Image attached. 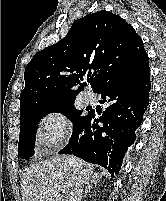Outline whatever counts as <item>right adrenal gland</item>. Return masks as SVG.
Returning a JSON list of instances; mask_svg holds the SVG:
<instances>
[{"mask_svg":"<svg viewBox=\"0 0 166 201\" xmlns=\"http://www.w3.org/2000/svg\"><path fill=\"white\" fill-rule=\"evenodd\" d=\"M100 179H101V176H98V174L94 175L93 180L90 182V184H88V186L85 189L83 198H86L87 193L90 192V190L93 188V185L94 184L96 185L100 181Z\"/></svg>","mask_w":166,"mask_h":201,"instance_id":"2a0ac1e0","label":"right adrenal gland"}]
</instances>
